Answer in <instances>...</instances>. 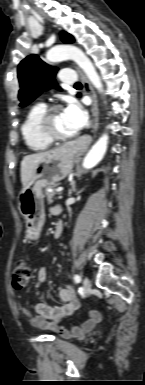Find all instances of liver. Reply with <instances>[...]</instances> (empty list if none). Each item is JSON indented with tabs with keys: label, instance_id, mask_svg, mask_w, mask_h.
I'll return each mask as SVG.
<instances>
[{
	"label": "liver",
	"instance_id": "6515ba94",
	"mask_svg": "<svg viewBox=\"0 0 145 385\" xmlns=\"http://www.w3.org/2000/svg\"><path fill=\"white\" fill-rule=\"evenodd\" d=\"M51 151L30 154L23 158L21 162V182L23 187L28 185L37 164Z\"/></svg>",
	"mask_w": 145,
	"mask_h": 385
}]
</instances>
